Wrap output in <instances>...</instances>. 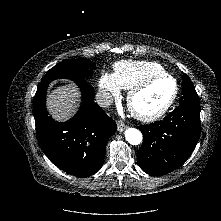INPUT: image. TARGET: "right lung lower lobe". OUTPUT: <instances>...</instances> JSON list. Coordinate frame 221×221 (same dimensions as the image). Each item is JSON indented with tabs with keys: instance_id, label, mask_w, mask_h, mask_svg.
I'll return each mask as SVG.
<instances>
[{
	"instance_id": "98d812e1",
	"label": "right lung lower lobe",
	"mask_w": 221,
	"mask_h": 221,
	"mask_svg": "<svg viewBox=\"0 0 221 221\" xmlns=\"http://www.w3.org/2000/svg\"><path fill=\"white\" fill-rule=\"evenodd\" d=\"M82 92V104L74 118L55 122L45 106L50 82L42 81L33 102L39 146L58 168L76 177L90 176L103 165L108 139L117 130L114 120L94 101L95 91L85 79L74 81Z\"/></svg>"
}]
</instances>
